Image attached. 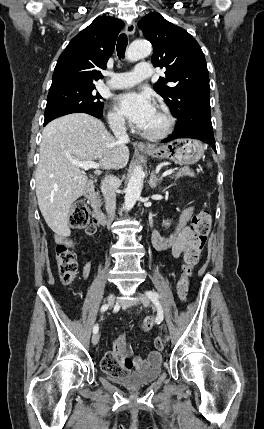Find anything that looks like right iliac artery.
Instances as JSON below:
<instances>
[{
    "mask_svg": "<svg viewBox=\"0 0 264 429\" xmlns=\"http://www.w3.org/2000/svg\"><path fill=\"white\" fill-rule=\"evenodd\" d=\"M108 309V305L107 304H104L102 307H101V312H105L106 310ZM98 330H99V327H98V324H96L94 327H93V333L95 334V333H97L98 332Z\"/></svg>",
    "mask_w": 264,
    "mask_h": 429,
    "instance_id": "82829eb1",
    "label": "right iliac artery"
}]
</instances>
